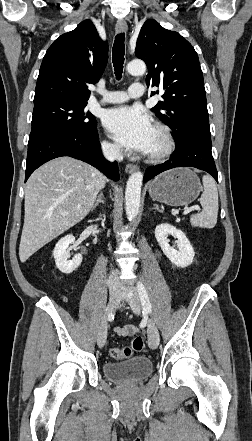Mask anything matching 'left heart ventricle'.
<instances>
[{
	"instance_id": "1",
	"label": "left heart ventricle",
	"mask_w": 252,
	"mask_h": 441,
	"mask_svg": "<svg viewBox=\"0 0 252 441\" xmlns=\"http://www.w3.org/2000/svg\"><path fill=\"white\" fill-rule=\"evenodd\" d=\"M162 146H163L162 139H161L160 135L155 131L153 142H152L147 153L157 152L162 148Z\"/></svg>"
}]
</instances>
